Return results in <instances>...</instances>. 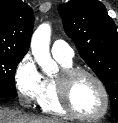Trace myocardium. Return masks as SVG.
<instances>
[{
    "label": "myocardium",
    "instance_id": "obj_1",
    "mask_svg": "<svg viewBox=\"0 0 118 123\" xmlns=\"http://www.w3.org/2000/svg\"><path fill=\"white\" fill-rule=\"evenodd\" d=\"M91 78L100 88L104 98L103 111L95 116H87L78 112L71 101V88L73 83L81 77ZM58 101L64 111L74 118L84 121H97L104 118L110 108V96L104 82L93 72L80 68H63L60 75L54 79Z\"/></svg>",
    "mask_w": 118,
    "mask_h": 123
}]
</instances>
